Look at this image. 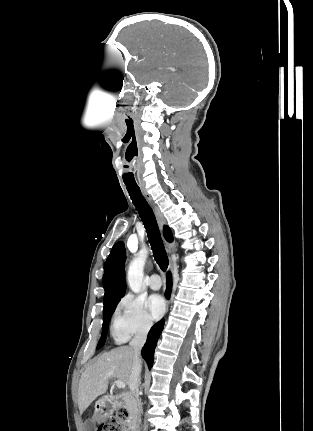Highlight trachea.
I'll return each instance as SVG.
<instances>
[{
  "label": "trachea",
  "instance_id": "trachea-1",
  "mask_svg": "<svg viewBox=\"0 0 313 431\" xmlns=\"http://www.w3.org/2000/svg\"><path fill=\"white\" fill-rule=\"evenodd\" d=\"M126 188L146 228L155 261L160 266V268L165 271L169 262L155 215L146 199L142 195L139 187L126 185Z\"/></svg>",
  "mask_w": 313,
  "mask_h": 431
}]
</instances>
